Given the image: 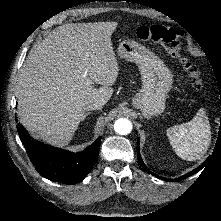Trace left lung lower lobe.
Returning a JSON list of instances; mask_svg holds the SVG:
<instances>
[{
  "label": "left lung lower lobe",
  "instance_id": "left-lung-lower-lobe-1",
  "mask_svg": "<svg viewBox=\"0 0 221 221\" xmlns=\"http://www.w3.org/2000/svg\"><path fill=\"white\" fill-rule=\"evenodd\" d=\"M137 153H138V161L140 162V165L143 167V169H144L145 171H147L148 173L154 175V176L157 177V178L164 179L163 177H160V176H158V175L152 173V172L145 166V164H144V162H143V160H142V158H141V156H140V152H139V139H138ZM205 163H206V161H205L201 166H199L198 168L194 169L192 172H189V173H187L186 175H184V176H182V177H179V178H176V179H166V180H167V181H171V182H172V181H175V182H176V181H181V180H183V179H185V178H187V177H189V176H191V175L197 173L198 171H200V170L204 167Z\"/></svg>",
  "mask_w": 221,
  "mask_h": 221
}]
</instances>
